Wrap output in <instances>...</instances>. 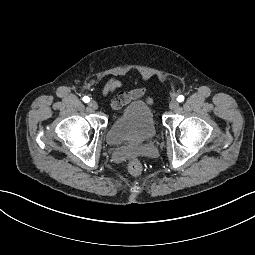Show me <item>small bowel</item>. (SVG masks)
I'll use <instances>...</instances> for the list:
<instances>
[{"mask_svg": "<svg viewBox=\"0 0 255 255\" xmlns=\"http://www.w3.org/2000/svg\"><path fill=\"white\" fill-rule=\"evenodd\" d=\"M121 86L122 81L118 77L116 76L111 77L104 85L102 94L104 96H108ZM143 94L144 92L141 89H136L130 92H121L112 99L111 101L112 108L117 112H120L125 104H127L129 101L133 99L141 97Z\"/></svg>", "mask_w": 255, "mask_h": 255, "instance_id": "1", "label": "small bowel"}]
</instances>
